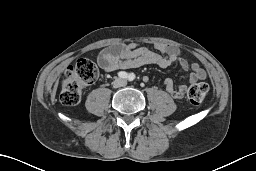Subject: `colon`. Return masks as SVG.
Instances as JSON below:
<instances>
[{
    "instance_id": "1",
    "label": "colon",
    "mask_w": 256,
    "mask_h": 171,
    "mask_svg": "<svg viewBox=\"0 0 256 171\" xmlns=\"http://www.w3.org/2000/svg\"><path fill=\"white\" fill-rule=\"evenodd\" d=\"M98 76L96 65L87 59H80L68 67L61 84L60 101L67 106L76 105L83 89L92 84ZM209 92L207 83L193 84L188 90V100L194 106L200 105Z\"/></svg>"
}]
</instances>
